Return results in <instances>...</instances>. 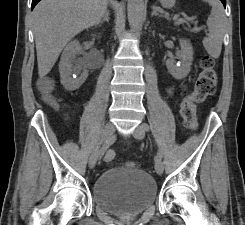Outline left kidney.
Segmentation results:
<instances>
[{
    "mask_svg": "<svg viewBox=\"0 0 245 225\" xmlns=\"http://www.w3.org/2000/svg\"><path fill=\"white\" fill-rule=\"evenodd\" d=\"M180 50L176 52L175 57H170L166 61V66L169 73L176 79L185 78L190 70L193 61V48L190 42L186 39H180ZM175 59L180 60L176 63Z\"/></svg>",
    "mask_w": 245,
    "mask_h": 225,
    "instance_id": "5707ae66",
    "label": "left kidney"
}]
</instances>
